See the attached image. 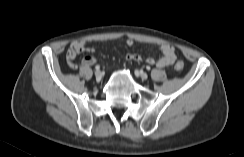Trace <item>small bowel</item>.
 Instances as JSON below:
<instances>
[{
  "label": "small bowel",
  "mask_w": 244,
  "mask_h": 157,
  "mask_svg": "<svg viewBox=\"0 0 244 157\" xmlns=\"http://www.w3.org/2000/svg\"><path fill=\"white\" fill-rule=\"evenodd\" d=\"M124 43L127 46H132L134 44V40L131 38H128L124 41ZM159 49H160L162 55L157 59L152 58V57L147 58L146 59L147 63L152 66L158 67V68L171 66L176 59L174 47L169 44H161L159 46ZM85 50L87 52L94 51L93 48H86V41L83 39L76 40L71 44V46L68 49L67 54H66V59H67V63L69 65V67H71L73 69H75L77 67L76 63L74 62V59L76 58L77 54H80V53L84 52ZM126 59L129 61H140L141 57L135 53H128V54H126ZM82 63L84 65L91 66L96 63V58L92 55H86L82 59Z\"/></svg>",
  "instance_id": "small-bowel-1"
}]
</instances>
